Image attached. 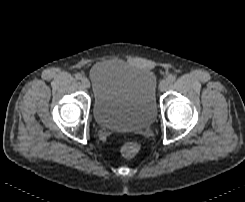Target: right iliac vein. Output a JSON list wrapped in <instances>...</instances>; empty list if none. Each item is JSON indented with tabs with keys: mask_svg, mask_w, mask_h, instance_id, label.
<instances>
[{
	"mask_svg": "<svg viewBox=\"0 0 245 202\" xmlns=\"http://www.w3.org/2000/svg\"><path fill=\"white\" fill-rule=\"evenodd\" d=\"M81 82H82V85L85 88H89L90 87V82H89V80L86 77H82Z\"/></svg>",
	"mask_w": 245,
	"mask_h": 202,
	"instance_id": "63e3f726",
	"label": "right iliac vein"
}]
</instances>
